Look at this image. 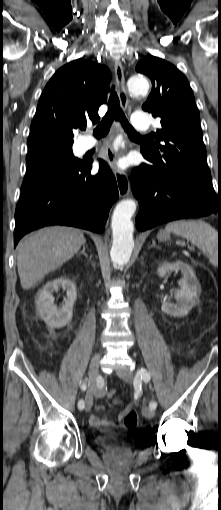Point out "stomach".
<instances>
[{"mask_svg":"<svg viewBox=\"0 0 221 510\" xmlns=\"http://www.w3.org/2000/svg\"><path fill=\"white\" fill-rule=\"evenodd\" d=\"M158 240L165 241L169 238V234L166 231L161 230L157 235Z\"/></svg>","mask_w":221,"mask_h":510,"instance_id":"1","label":"stomach"}]
</instances>
